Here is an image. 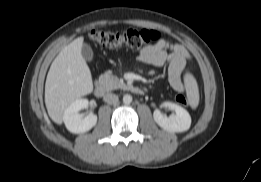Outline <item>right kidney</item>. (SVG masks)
<instances>
[{
  "instance_id": "1",
  "label": "right kidney",
  "mask_w": 261,
  "mask_h": 182,
  "mask_svg": "<svg viewBox=\"0 0 261 182\" xmlns=\"http://www.w3.org/2000/svg\"><path fill=\"white\" fill-rule=\"evenodd\" d=\"M88 105L89 101L87 99H77L65 109L63 121L71 133H85L96 125L97 116L95 114L83 117L79 113L80 110L87 108Z\"/></svg>"
}]
</instances>
